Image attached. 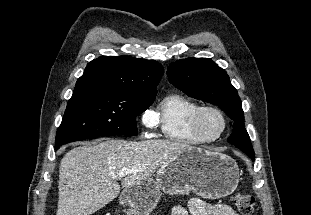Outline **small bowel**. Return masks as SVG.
<instances>
[{
	"label": "small bowel",
	"instance_id": "c3829d8e",
	"mask_svg": "<svg viewBox=\"0 0 311 215\" xmlns=\"http://www.w3.org/2000/svg\"><path fill=\"white\" fill-rule=\"evenodd\" d=\"M172 215H239L229 205L209 204L201 199H191L187 207L177 205L172 210Z\"/></svg>",
	"mask_w": 311,
	"mask_h": 215
}]
</instances>
